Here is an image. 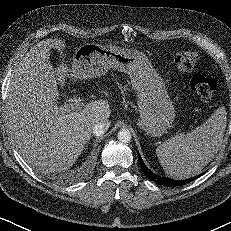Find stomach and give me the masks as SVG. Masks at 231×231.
<instances>
[{
  "label": "stomach",
  "mask_w": 231,
  "mask_h": 231,
  "mask_svg": "<svg viewBox=\"0 0 231 231\" xmlns=\"http://www.w3.org/2000/svg\"><path fill=\"white\" fill-rule=\"evenodd\" d=\"M73 56L70 76L93 79L104 75L110 68L129 75L137 95L140 118L137 125L147 135L160 137L175 118V109L165 83L141 51L115 46L87 44Z\"/></svg>",
  "instance_id": "0dacf381"
}]
</instances>
